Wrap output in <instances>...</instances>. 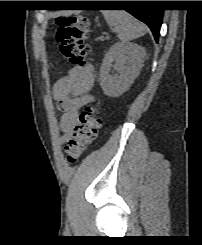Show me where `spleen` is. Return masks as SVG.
I'll return each instance as SVG.
<instances>
[{
	"label": "spleen",
	"mask_w": 202,
	"mask_h": 245,
	"mask_svg": "<svg viewBox=\"0 0 202 245\" xmlns=\"http://www.w3.org/2000/svg\"><path fill=\"white\" fill-rule=\"evenodd\" d=\"M102 14L109 26L123 42H129L145 34L146 28L126 11L104 10Z\"/></svg>",
	"instance_id": "3e777b00"
}]
</instances>
